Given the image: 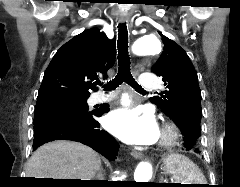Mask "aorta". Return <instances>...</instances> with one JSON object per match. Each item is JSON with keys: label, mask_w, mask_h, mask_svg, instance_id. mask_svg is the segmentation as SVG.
<instances>
[{"label": "aorta", "mask_w": 240, "mask_h": 187, "mask_svg": "<svg viewBox=\"0 0 240 187\" xmlns=\"http://www.w3.org/2000/svg\"><path fill=\"white\" fill-rule=\"evenodd\" d=\"M161 52V43L155 35L139 37L133 45V53L138 56L156 55ZM124 105H129L127 95L123 97ZM152 178V166L148 162H140L134 172L135 182H149Z\"/></svg>", "instance_id": "aorta-1"}]
</instances>
